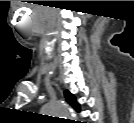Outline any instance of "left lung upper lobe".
Wrapping results in <instances>:
<instances>
[{
    "label": "left lung upper lobe",
    "instance_id": "obj_1",
    "mask_svg": "<svg viewBox=\"0 0 134 123\" xmlns=\"http://www.w3.org/2000/svg\"><path fill=\"white\" fill-rule=\"evenodd\" d=\"M65 97L68 103L78 112H80V105L77 103L76 98L68 90L65 91Z\"/></svg>",
    "mask_w": 134,
    "mask_h": 123
}]
</instances>
